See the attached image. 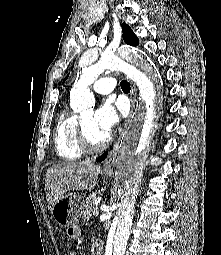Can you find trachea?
<instances>
[{"label": "trachea", "instance_id": "trachea-1", "mask_svg": "<svg viewBox=\"0 0 221 255\" xmlns=\"http://www.w3.org/2000/svg\"><path fill=\"white\" fill-rule=\"evenodd\" d=\"M120 86L124 92L130 91V84L126 80L121 81Z\"/></svg>", "mask_w": 221, "mask_h": 255}]
</instances>
